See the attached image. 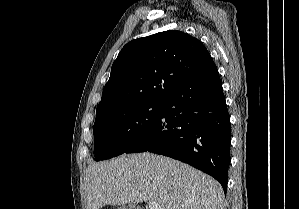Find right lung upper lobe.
<instances>
[{
  "label": "right lung upper lobe",
  "mask_w": 299,
  "mask_h": 209,
  "mask_svg": "<svg viewBox=\"0 0 299 209\" xmlns=\"http://www.w3.org/2000/svg\"><path fill=\"white\" fill-rule=\"evenodd\" d=\"M217 69L206 47L187 33L169 30L127 43L111 68L96 115L139 102L164 103L192 75Z\"/></svg>",
  "instance_id": "right-lung-upper-lobe-1"
}]
</instances>
